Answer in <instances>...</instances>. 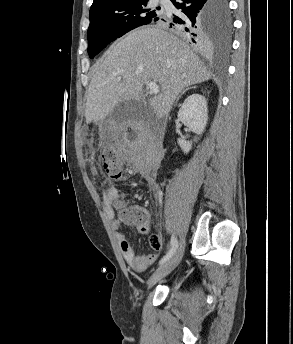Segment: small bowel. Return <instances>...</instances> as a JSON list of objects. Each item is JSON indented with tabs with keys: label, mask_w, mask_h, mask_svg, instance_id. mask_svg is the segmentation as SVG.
<instances>
[{
	"label": "small bowel",
	"mask_w": 293,
	"mask_h": 344,
	"mask_svg": "<svg viewBox=\"0 0 293 344\" xmlns=\"http://www.w3.org/2000/svg\"><path fill=\"white\" fill-rule=\"evenodd\" d=\"M118 194V188L114 185L109 186L103 193L104 210L108 220L111 223V229L114 232L115 239L121 251V254L129 265V267L136 273L144 272L151 264L158 260L157 254L136 255L126 238L122 233L121 228L123 223L116 217L113 209V202ZM142 232V231H141ZM150 244L156 251L163 248V239L160 235L154 234L150 237Z\"/></svg>",
	"instance_id": "obj_1"
}]
</instances>
